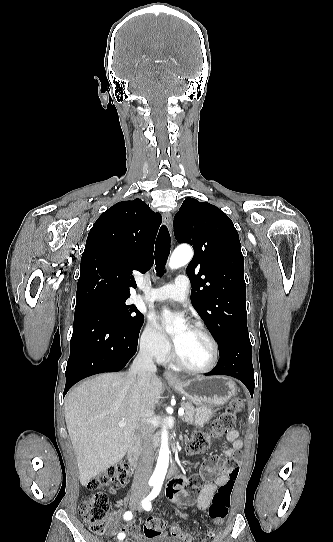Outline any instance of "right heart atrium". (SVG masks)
<instances>
[{"label": "right heart atrium", "instance_id": "right-heart-atrium-1", "mask_svg": "<svg viewBox=\"0 0 333 542\" xmlns=\"http://www.w3.org/2000/svg\"><path fill=\"white\" fill-rule=\"evenodd\" d=\"M140 348L142 352L151 358H160L167 354L169 342L162 333L158 323L149 318L140 334Z\"/></svg>", "mask_w": 333, "mask_h": 542}]
</instances>
